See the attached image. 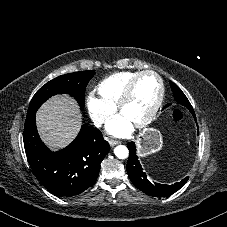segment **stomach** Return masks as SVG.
<instances>
[{
    "label": "stomach",
    "instance_id": "obj_1",
    "mask_svg": "<svg viewBox=\"0 0 227 227\" xmlns=\"http://www.w3.org/2000/svg\"><path fill=\"white\" fill-rule=\"evenodd\" d=\"M137 151L141 157L159 151L163 145V137L159 130L148 128L137 137Z\"/></svg>",
    "mask_w": 227,
    "mask_h": 227
}]
</instances>
